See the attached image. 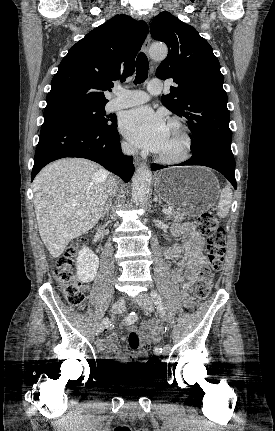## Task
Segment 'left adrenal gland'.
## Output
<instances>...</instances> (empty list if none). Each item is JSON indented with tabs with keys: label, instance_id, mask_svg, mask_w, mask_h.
<instances>
[{
	"label": "left adrenal gland",
	"instance_id": "1",
	"mask_svg": "<svg viewBox=\"0 0 275 431\" xmlns=\"http://www.w3.org/2000/svg\"><path fill=\"white\" fill-rule=\"evenodd\" d=\"M153 201H154V202H158L159 204L161 203V202L158 200L157 195H155V197H154Z\"/></svg>",
	"mask_w": 275,
	"mask_h": 431
}]
</instances>
